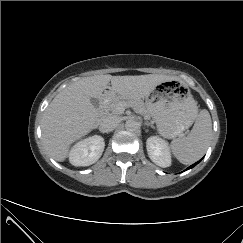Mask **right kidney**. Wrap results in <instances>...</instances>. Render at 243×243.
<instances>
[{
    "mask_svg": "<svg viewBox=\"0 0 243 243\" xmlns=\"http://www.w3.org/2000/svg\"><path fill=\"white\" fill-rule=\"evenodd\" d=\"M105 147L103 137L94 135L77 142L69 152V161L74 166H89L101 157Z\"/></svg>",
    "mask_w": 243,
    "mask_h": 243,
    "instance_id": "1",
    "label": "right kidney"
}]
</instances>
